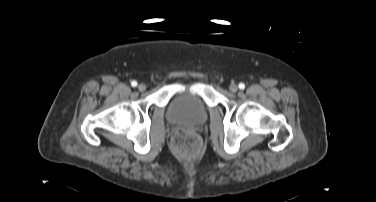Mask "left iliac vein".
I'll list each match as a JSON object with an SVG mask.
<instances>
[{"label":"left iliac vein","instance_id":"1","mask_svg":"<svg viewBox=\"0 0 376 202\" xmlns=\"http://www.w3.org/2000/svg\"><path fill=\"white\" fill-rule=\"evenodd\" d=\"M229 89H230V91L231 92H237V90H238V86L236 85V84H231L230 86H229Z\"/></svg>","mask_w":376,"mask_h":202}]
</instances>
